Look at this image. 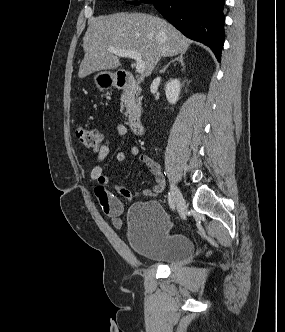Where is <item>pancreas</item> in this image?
Listing matches in <instances>:
<instances>
[{"label":"pancreas","mask_w":285,"mask_h":332,"mask_svg":"<svg viewBox=\"0 0 285 332\" xmlns=\"http://www.w3.org/2000/svg\"><path fill=\"white\" fill-rule=\"evenodd\" d=\"M140 107H141V97L134 99L129 95L128 92H125L121 96V110L126 108V112L124 113L125 116L130 115L131 111H140Z\"/></svg>","instance_id":"obj_1"}]
</instances>
